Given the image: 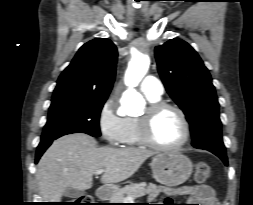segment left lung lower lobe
<instances>
[{"instance_id": "1", "label": "left lung lower lobe", "mask_w": 253, "mask_h": 205, "mask_svg": "<svg viewBox=\"0 0 253 205\" xmlns=\"http://www.w3.org/2000/svg\"><path fill=\"white\" fill-rule=\"evenodd\" d=\"M205 150H208V151L212 152L213 154H215L216 156H218L224 162V164L226 166L228 165L226 153L215 151V150H210V149H205Z\"/></svg>"}]
</instances>
